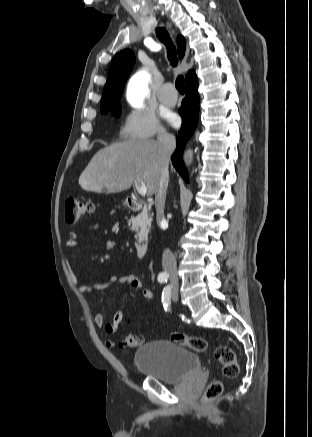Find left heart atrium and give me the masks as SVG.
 <instances>
[{"mask_svg":"<svg viewBox=\"0 0 312 437\" xmlns=\"http://www.w3.org/2000/svg\"><path fill=\"white\" fill-rule=\"evenodd\" d=\"M168 119L171 123H176L177 122V116L175 114H170L168 116Z\"/></svg>","mask_w":312,"mask_h":437,"instance_id":"obj_1","label":"left heart atrium"}]
</instances>
